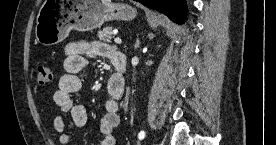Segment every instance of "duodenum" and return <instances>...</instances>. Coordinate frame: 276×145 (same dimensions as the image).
Returning a JSON list of instances; mask_svg holds the SVG:
<instances>
[{
  "mask_svg": "<svg viewBox=\"0 0 276 145\" xmlns=\"http://www.w3.org/2000/svg\"><path fill=\"white\" fill-rule=\"evenodd\" d=\"M111 61L116 69V73L110 78L109 85L111 89L123 92L125 87L124 73L127 68V56L122 52H115L111 58Z\"/></svg>",
  "mask_w": 276,
  "mask_h": 145,
  "instance_id": "410a0bca",
  "label": "duodenum"
}]
</instances>
